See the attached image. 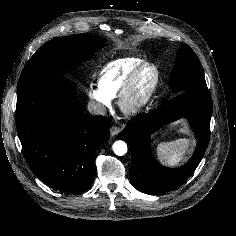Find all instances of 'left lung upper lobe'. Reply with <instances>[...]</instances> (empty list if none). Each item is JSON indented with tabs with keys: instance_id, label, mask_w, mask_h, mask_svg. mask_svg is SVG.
<instances>
[{
	"instance_id": "1",
	"label": "left lung upper lobe",
	"mask_w": 236,
	"mask_h": 236,
	"mask_svg": "<svg viewBox=\"0 0 236 236\" xmlns=\"http://www.w3.org/2000/svg\"><path fill=\"white\" fill-rule=\"evenodd\" d=\"M170 87L177 93L208 89L200 61L187 44H181L177 53V60L170 78Z\"/></svg>"
}]
</instances>
